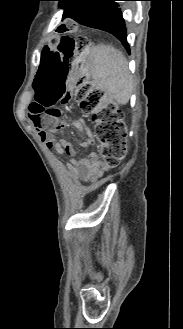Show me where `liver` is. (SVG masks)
<instances>
[{
	"instance_id": "6515ba94",
	"label": "liver",
	"mask_w": 183,
	"mask_h": 329,
	"mask_svg": "<svg viewBox=\"0 0 183 329\" xmlns=\"http://www.w3.org/2000/svg\"><path fill=\"white\" fill-rule=\"evenodd\" d=\"M90 80L96 90L104 92L102 102L126 105L133 89V79L128 71V62L122 52L112 45L86 46L76 66Z\"/></svg>"
}]
</instances>
